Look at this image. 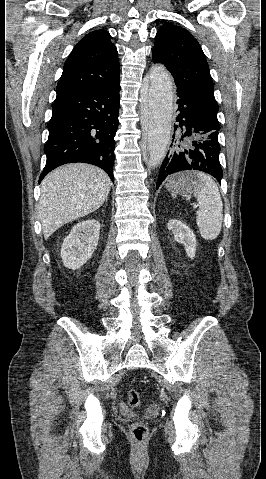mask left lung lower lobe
I'll return each instance as SVG.
<instances>
[{"mask_svg":"<svg viewBox=\"0 0 266 479\" xmlns=\"http://www.w3.org/2000/svg\"><path fill=\"white\" fill-rule=\"evenodd\" d=\"M179 114L170 150L165 157L158 175L156 189L170 174L183 170L206 172L221 182L223 170L219 162L220 125L217 115L208 111L201 103L177 89Z\"/></svg>","mask_w":266,"mask_h":479,"instance_id":"obj_1","label":"left lung lower lobe"}]
</instances>
